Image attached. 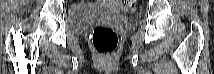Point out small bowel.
I'll return each instance as SVG.
<instances>
[{"label":"small bowel","mask_w":214,"mask_h":74,"mask_svg":"<svg viewBox=\"0 0 214 74\" xmlns=\"http://www.w3.org/2000/svg\"><path fill=\"white\" fill-rule=\"evenodd\" d=\"M111 3L118 4V2H114V1H113V2H111Z\"/></svg>","instance_id":"1"}]
</instances>
